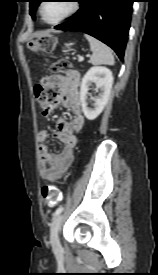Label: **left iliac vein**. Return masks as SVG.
Returning <instances> with one entry per match:
<instances>
[{
  "label": "left iliac vein",
  "instance_id": "4c4485c4",
  "mask_svg": "<svg viewBox=\"0 0 158 275\" xmlns=\"http://www.w3.org/2000/svg\"><path fill=\"white\" fill-rule=\"evenodd\" d=\"M63 220V215L59 214L52 222L50 228V242L52 249L54 251H58L60 249V241H59V229Z\"/></svg>",
  "mask_w": 158,
  "mask_h": 275
}]
</instances>
